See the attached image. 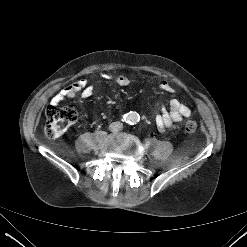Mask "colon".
Instances as JSON below:
<instances>
[{
	"label": "colon",
	"instance_id": "colon-1",
	"mask_svg": "<svg viewBox=\"0 0 247 247\" xmlns=\"http://www.w3.org/2000/svg\"><path fill=\"white\" fill-rule=\"evenodd\" d=\"M77 110L74 105L59 106L51 103L45 111L46 123L44 131L47 137L57 138L61 136L66 129L77 119ZM197 130V122L189 119L185 123V131L192 135Z\"/></svg>",
	"mask_w": 247,
	"mask_h": 247
}]
</instances>
